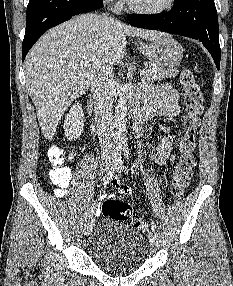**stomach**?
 I'll use <instances>...</instances> for the list:
<instances>
[{"mask_svg": "<svg viewBox=\"0 0 233 286\" xmlns=\"http://www.w3.org/2000/svg\"><path fill=\"white\" fill-rule=\"evenodd\" d=\"M138 49L151 64L165 68H174L179 65L183 57L182 46L168 34H163L146 43L140 42Z\"/></svg>", "mask_w": 233, "mask_h": 286, "instance_id": "obj_1", "label": "stomach"}]
</instances>
